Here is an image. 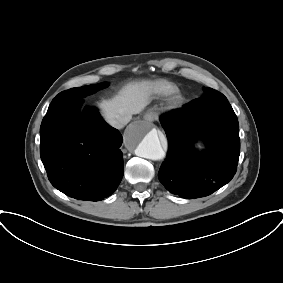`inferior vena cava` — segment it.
I'll return each instance as SVG.
<instances>
[{"label": "inferior vena cava", "instance_id": "obj_1", "mask_svg": "<svg viewBox=\"0 0 283 283\" xmlns=\"http://www.w3.org/2000/svg\"><path fill=\"white\" fill-rule=\"evenodd\" d=\"M108 122L112 127L116 129H122L129 121L127 119H123V120L111 119Z\"/></svg>", "mask_w": 283, "mask_h": 283}]
</instances>
